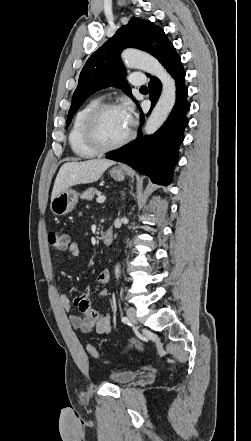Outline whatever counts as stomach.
Wrapping results in <instances>:
<instances>
[{
	"instance_id": "obj_1",
	"label": "stomach",
	"mask_w": 251,
	"mask_h": 441,
	"mask_svg": "<svg viewBox=\"0 0 251 441\" xmlns=\"http://www.w3.org/2000/svg\"><path fill=\"white\" fill-rule=\"evenodd\" d=\"M111 177L116 181H123L125 173L120 167L110 170ZM78 202V194L72 189H67L51 200L50 208L55 215H64L71 212Z\"/></svg>"
}]
</instances>
